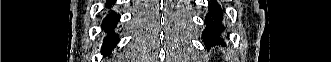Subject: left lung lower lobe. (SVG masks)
I'll return each mask as SVG.
<instances>
[{
  "label": "left lung lower lobe",
  "mask_w": 331,
  "mask_h": 62,
  "mask_svg": "<svg viewBox=\"0 0 331 62\" xmlns=\"http://www.w3.org/2000/svg\"><path fill=\"white\" fill-rule=\"evenodd\" d=\"M223 10L217 1L209 3V12L207 14L206 28L202 34L204 44L208 47L222 42L224 26L222 24Z\"/></svg>",
  "instance_id": "left-lung-lower-lobe-1"
}]
</instances>
